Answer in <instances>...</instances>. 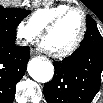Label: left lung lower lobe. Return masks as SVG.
Wrapping results in <instances>:
<instances>
[{
	"label": "left lung lower lobe",
	"mask_w": 103,
	"mask_h": 103,
	"mask_svg": "<svg viewBox=\"0 0 103 103\" xmlns=\"http://www.w3.org/2000/svg\"><path fill=\"white\" fill-rule=\"evenodd\" d=\"M54 77L44 85L48 103H90L103 74V39L89 27L79 48L61 62H54Z\"/></svg>",
	"instance_id": "1"
}]
</instances>
